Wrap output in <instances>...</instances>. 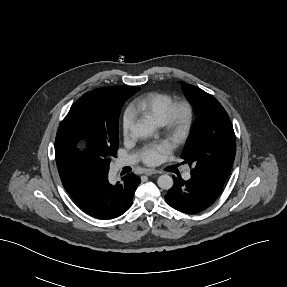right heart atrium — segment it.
Instances as JSON below:
<instances>
[{
  "label": "right heart atrium",
  "instance_id": "obj_1",
  "mask_svg": "<svg viewBox=\"0 0 287 287\" xmlns=\"http://www.w3.org/2000/svg\"><path fill=\"white\" fill-rule=\"evenodd\" d=\"M135 114L131 109H127L122 117V130L124 136H129L134 128Z\"/></svg>",
  "mask_w": 287,
  "mask_h": 287
}]
</instances>
